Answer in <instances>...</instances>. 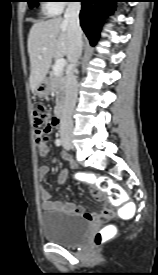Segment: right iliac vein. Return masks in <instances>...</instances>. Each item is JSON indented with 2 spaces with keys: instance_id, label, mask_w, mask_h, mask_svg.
I'll list each match as a JSON object with an SVG mask.
<instances>
[{
  "instance_id": "obj_1",
  "label": "right iliac vein",
  "mask_w": 158,
  "mask_h": 275,
  "mask_svg": "<svg viewBox=\"0 0 158 275\" xmlns=\"http://www.w3.org/2000/svg\"><path fill=\"white\" fill-rule=\"evenodd\" d=\"M64 144L70 148H73V144L70 139H64Z\"/></svg>"
}]
</instances>
